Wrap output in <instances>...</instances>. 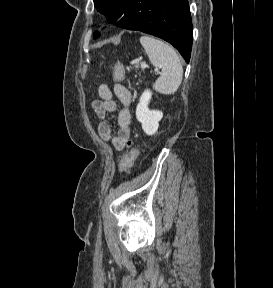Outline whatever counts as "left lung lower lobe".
<instances>
[{
  "instance_id": "1",
  "label": "left lung lower lobe",
  "mask_w": 273,
  "mask_h": 288,
  "mask_svg": "<svg viewBox=\"0 0 273 288\" xmlns=\"http://www.w3.org/2000/svg\"><path fill=\"white\" fill-rule=\"evenodd\" d=\"M119 27L160 37L172 44L188 63L192 21L188 0H134Z\"/></svg>"
}]
</instances>
